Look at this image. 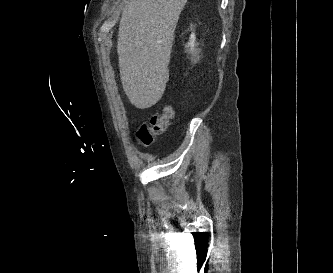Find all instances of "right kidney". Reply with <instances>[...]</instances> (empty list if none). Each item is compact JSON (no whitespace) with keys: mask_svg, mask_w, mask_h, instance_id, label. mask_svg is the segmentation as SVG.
Returning a JSON list of instances; mask_svg holds the SVG:
<instances>
[{"mask_svg":"<svg viewBox=\"0 0 333 273\" xmlns=\"http://www.w3.org/2000/svg\"><path fill=\"white\" fill-rule=\"evenodd\" d=\"M195 45V35L191 34L190 41L188 43V47H190V50L193 51Z\"/></svg>","mask_w":333,"mask_h":273,"instance_id":"obj_1","label":"right kidney"}]
</instances>
